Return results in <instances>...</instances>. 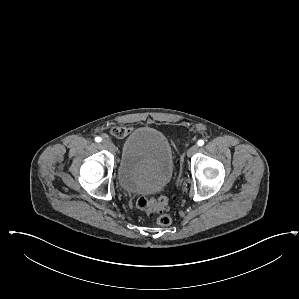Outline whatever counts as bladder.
Here are the masks:
<instances>
[{
    "label": "bladder",
    "instance_id": "1",
    "mask_svg": "<svg viewBox=\"0 0 299 299\" xmlns=\"http://www.w3.org/2000/svg\"><path fill=\"white\" fill-rule=\"evenodd\" d=\"M174 173V153L166 136L152 127H139L125 139L118 181L131 193L162 189Z\"/></svg>",
    "mask_w": 299,
    "mask_h": 299
}]
</instances>
